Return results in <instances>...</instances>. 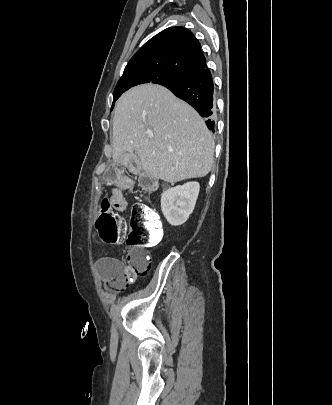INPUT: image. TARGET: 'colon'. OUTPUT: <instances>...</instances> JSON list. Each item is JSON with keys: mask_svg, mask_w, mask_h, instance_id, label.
Masks as SVG:
<instances>
[{"mask_svg": "<svg viewBox=\"0 0 332 405\" xmlns=\"http://www.w3.org/2000/svg\"><path fill=\"white\" fill-rule=\"evenodd\" d=\"M142 187L149 191L156 189L154 178L148 173L139 176ZM111 197V196H110ZM110 197H105L100 204V213L96 222V229L100 238L106 243L121 241L128 233L130 245L125 260L127 274H145L150 266V248L144 247L148 243L159 242L163 236V227L159 215L145 204L136 203L132 206L129 221L121 217L110 206ZM124 274L116 276L108 282V287L117 290L121 287Z\"/></svg>", "mask_w": 332, "mask_h": 405, "instance_id": "obj_1", "label": "colon"}]
</instances>
